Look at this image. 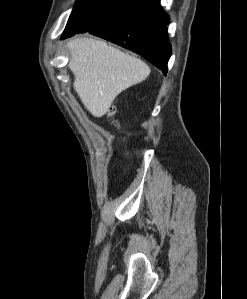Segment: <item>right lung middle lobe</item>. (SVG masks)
<instances>
[{"instance_id":"dd1d6c3e","label":"right lung middle lobe","mask_w":247,"mask_h":299,"mask_svg":"<svg viewBox=\"0 0 247 299\" xmlns=\"http://www.w3.org/2000/svg\"><path fill=\"white\" fill-rule=\"evenodd\" d=\"M136 0H77L62 37L102 26L122 15Z\"/></svg>"}]
</instances>
